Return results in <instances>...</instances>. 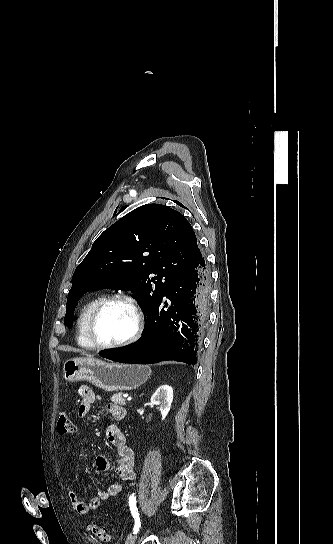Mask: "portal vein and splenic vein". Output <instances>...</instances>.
Wrapping results in <instances>:
<instances>
[{"label":"portal vein and splenic vein","mask_w":333,"mask_h":544,"mask_svg":"<svg viewBox=\"0 0 333 544\" xmlns=\"http://www.w3.org/2000/svg\"><path fill=\"white\" fill-rule=\"evenodd\" d=\"M123 397H124V398H127V397H128V394H123Z\"/></svg>","instance_id":"obj_1"}]
</instances>
